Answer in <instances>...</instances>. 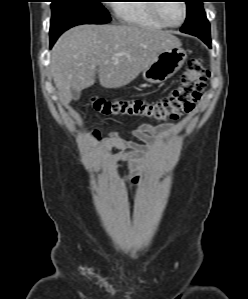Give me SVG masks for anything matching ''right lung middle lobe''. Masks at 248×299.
Masks as SVG:
<instances>
[{"mask_svg":"<svg viewBox=\"0 0 248 299\" xmlns=\"http://www.w3.org/2000/svg\"><path fill=\"white\" fill-rule=\"evenodd\" d=\"M102 0H52L50 43L53 45L67 29L79 24H104L110 22Z\"/></svg>","mask_w":248,"mask_h":299,"instance_id":"dd1d6c3e","label":"right lung middle lobe"}]
</instances>
